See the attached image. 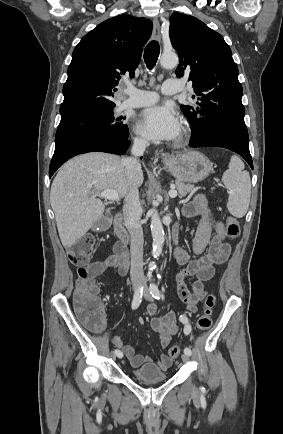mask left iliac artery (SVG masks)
<instances>
[{
    "mask_svg": "<svg viewBox=\"0 0 283 434\" xmlns=\"http://www.w3.org/2000/svg\"><path fill=\"white\" fill-rule=\"evenodd\" d=\"M150 293L153 296V298L159 300L161 295H160V291L158 289V286L155 283H151L150 284ZM180 321L185 325L184 328V333L185 334H189L191 331L190 325L188 324V318L185 316H180ZM184 353L187 355H191L192 351L190 348L186 347L184 349ZM204 388H202L203 390Z\"/></svg>",
    "mask_w": 283,
    "mask_h": 434,
    "instance_id": "44dca946",
    "label": "left iliac artery"
}]
</instances>
